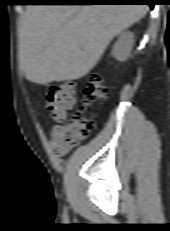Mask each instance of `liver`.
Listing matches in <instances>:
<instances>
[{
    "instance_id": "liver-1",
    "label": "liver",
    "mask_w": 170,
    "mask_h": 231,
    "mask_svg": "<svg viewBox=\"0 0 170 231\" xmlns=\"http://www.w3.org/2000/svg\"><path fill=\"white\" fill-rule=\"evenodd\" d=\"M147 11L145 5L28 6L19 28L20 68L37 84L80 79Z\"/></svg>"
}]
</instances>
